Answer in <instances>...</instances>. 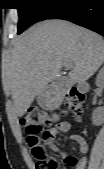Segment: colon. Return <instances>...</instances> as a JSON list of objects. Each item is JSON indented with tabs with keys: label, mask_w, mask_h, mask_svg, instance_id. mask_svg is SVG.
<instances>
[{
	"label": "colon",
	"mask_w": 104,
	"mask_h": 169,
	"mask_svg": "<svg viewBox=\"0 0 104 169\" xmlns=\"http://www.w3.org/2000/svg\"><path fill=\"white\" fill-rule=\"evenodd\" d=\"M83 101L84 95L79 90L73 88L66 94L65 107L79 117ZM56 119V114H47L38 108L28 110L20 119V124L26 134L25 142L35 159L36 169H59L57 158L41 143L43 126L51 125ZM53 134L51 130L45 131L42 134V139L45 136H53ZM66 163L69 166H74L77 164V159L69 157L66 159Z\"/></svg>",
	"instance_id": "obj_1"
}]
</instances>
